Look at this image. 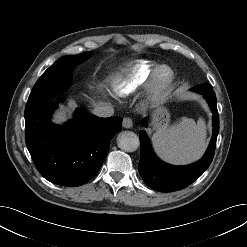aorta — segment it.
I'll list each match as a JSON object with an SVG mask.
<instances>
[{
	"label": "aorta",
	"mask_w": 247,
	"mask_h": 247,
	"mask_svg": "<svg viewBox=\"0 0 247 247\" xmlns=\"http://www.w3.org/2000/svg\"><path fill=\"white\" fill-rule=\"evenodd\" d=\"M117 144L121 150L134 152L139 147V137L134 132L124 131L118 135Z\"/></svg>",
	"instance_id": "762f6f07"
}]
</instances>
